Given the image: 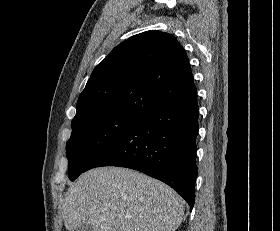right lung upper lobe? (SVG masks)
<instances>
[{
    "mask_svg": "<svg viewBox=\"0 0 280 231\" xmlns=\"http://www.w3.org/2000/svg\"><path fill=\"white\" fill-rule=\"evenodd\" d=\"M197 96L188 57L168 33L150 30L122 42L93 70L73 120L152 111Z\"/></svg>",
    "mask_w": 280,
    "mask_h": 231,
    "instance_id": "1",
    "label": "right lung upper lobe"
}]
</instances>
